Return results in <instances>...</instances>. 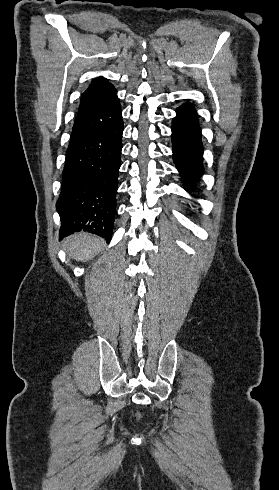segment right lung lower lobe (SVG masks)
I'll return each mask as SVG.
<instances>
[{
    "label": "right lung lower lobe",
    "instance_id": "1",
    "mask_svg": "<svg viewBox=\"0 0 279 490\" xmlns=\"http://www.w3.org/2000/svg\"><path fill=\"white\" fill-rule=\"evenodd\" d=\"M123 120L85 140L70 143L56 203L60 240L77 231L109 242L116 213Z\"/></svg>",
    "mask_w": 279,
    "mask_h": 490
}]
</instances>
